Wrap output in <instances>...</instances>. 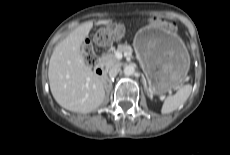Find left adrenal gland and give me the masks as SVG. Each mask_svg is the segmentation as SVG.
Returning <instances> with one entry per match:
<instances>
[{
    "label": "left adrenal gland",
    "instance_id": "obj_1",
    "mask_svg": "<svg viewBox=\"0 0 230 155\" xmlns=\"http://www.w3.org/2000/svg\"><path fill=\"white\" fill-rule=\"evenodd\" d=\"M142 78H143V84H144V87L147 89L146 81H145V79H144V77H143V76H142ZM147 95H148V96H150L148 91H147ZM150 97H151V96H150Z\"/></svg>",
    "mask_w": 230,
    "mask_h": 155
}]
</instances>
